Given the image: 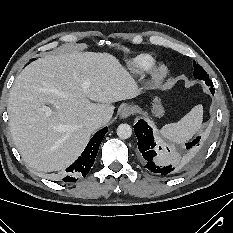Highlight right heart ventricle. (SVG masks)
<instances>
[{
  "mask_svg": "<svg viewBox=\"0 0 233 233\" xmlns=\"http://www.w3.org/2000/svg\"><path fill=\"white\" fill-rule=\"evenodd\" d=\"M154 64V58L149 54H139L128 62L132 73L141 74L148 71Z\"/></svg>",
  "mask_w": 233,
  "mask_h": 233,
  "instance_id": "1",
  "label": "right heart ventricle"
}]
</instances>
